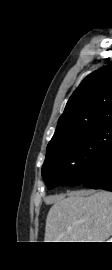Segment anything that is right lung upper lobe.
<instances>
[{
  "label": "right lung upper lobe",
  "mask_w": 112,
  "mask_h": 270,
  "mask_svg": "<svg viewBox=\"0 0 112 270\" xmlns=\"http://www.w3.org/2000/svg\"><path fill=\"white\" fill-rule=\"evenodd\" d=\"M112 122V62L88 75L74 91L47 149Z\"/></svg>",
  "instance_id": "obj_1"
}]
</instances>
